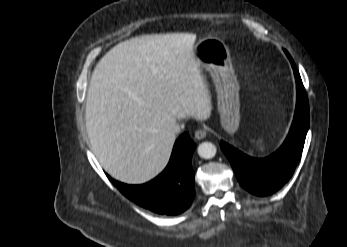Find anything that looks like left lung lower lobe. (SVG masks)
Segmentation results:
<instances>
[{
	"label": "left lung lower lobe",
	"instance_id": "0a47b994",
	"mask_svg": "<svg viewBox=\"0 0 347 247\" xmlns=\"http://www.w3.org/2000/svg\"><path fill=\"white\" fill-rule=\"evenodd\" d=\"M285 53L294 70L297 103L291 129L282 146L267 158L255 159L224 141L220 142L241 186L257 196L273 194L291 178L301 158L309 127V106L305 88L293 59L287 51Z\"/></svg>",
	"mask_w": 347,
	"mask_h": 247
}]
</instances>
